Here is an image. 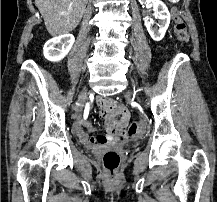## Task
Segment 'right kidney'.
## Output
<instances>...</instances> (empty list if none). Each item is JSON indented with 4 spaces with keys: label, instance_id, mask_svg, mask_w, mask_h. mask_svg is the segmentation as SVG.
<instances>
[{
    "label": "right kidney",
    "instance_id": "1",
    "mask_svg": "<svg viewBox=\"0 0 217 202\" xmlns=\"http://www.w3.org/2000/svg\"><path fill=\"white\" fill-rule=\"evenodd\" d=\"M74 42L75 38L72 34H64V36H59V38L48 40L43 48L46 60H49V62H59V60L65 58Z\"/></svg>",
    "mask_w": 217,
    "mask_h": 202
}]
</instances>
